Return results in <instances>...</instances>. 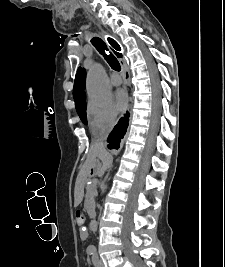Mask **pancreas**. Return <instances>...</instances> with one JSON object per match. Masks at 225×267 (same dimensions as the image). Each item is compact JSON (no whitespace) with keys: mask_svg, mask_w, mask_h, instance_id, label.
<instances>
[{"mask_svg":"<svg viewBox=\"0 0 225 267\" xmlns=\"http://www.w3.org/2000/svg\"><path fill=\"white\" fill-rule=\"evenodd\" d=\"M86 190L87 191H86L84 206L88 214L90 216H93L94 215V199H93L94 188L91 185V186H88Z\"/></svg>","mask_w":225,"mask_h":267,"instance_id":"pancreas-1","label":"pancreas"}]
</instances>
